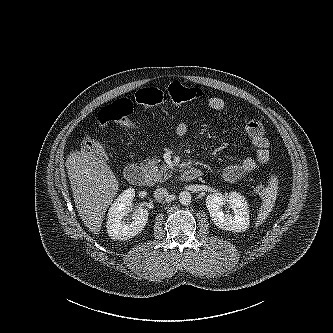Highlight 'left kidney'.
I'll use <instances>...</instances> for the list:
<instances>
[{
	"instance_id": "5707ae66",
	"label": "left kidney",
	"mask_w": 333,
	"mask_h": 333,
	"mask_svg": "<svg viewBox=\"0 0 333 333\" xmlns=\"http://www.w3.org/2000/svg\"><path fill=\"white\" fill-rule=\"evenodd\" d=\"M206 207L213 223L222 230L243 232L249 227L248 204L238 192H231L228 197L221 193L210 194Z\"/></svg>"
}]
</instances>
